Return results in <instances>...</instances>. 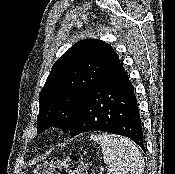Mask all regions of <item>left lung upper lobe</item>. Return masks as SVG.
<instances>
[{
  "mask_svg": "<svg viewBox=\"0 0 175 174\" xmlns=\"http://www.w3.org/2000/svg\"><path fill=\"white\" fill-rule=\"evenodd\" d=\"M119 63L113 48L97 39L81 40L66 51L41 90L38 132L51 126L69 130L82 97Z\"/></svg>",
  "mask_w": 175,
  "mask_h": 174,
  "instance_id": "left-lung-upper-lobe-1",
  "label": "left lung upper lobe"
}]
</instances>
